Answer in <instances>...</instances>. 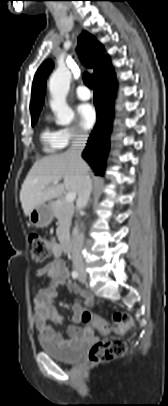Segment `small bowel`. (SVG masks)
I'll use <instances>...</instances> for the list:
<instances>
[{
	"instance_id": "1",
	"label": "small bowel",
	"mask_w": 168,
	"mask_h": 406,
	"mask_svg": "<svg viewBox=\"0 0 168 406\" xmlns=\"http://www.w3.org/2000/svg\"><path fill=\"white\" fill-rule=\"evenodd\" d=\"M54 260L46 264L44 267L38 269L35 272L36 277L43 278L47 276L50 279V285L46 288L37 290L33 297V309L35 317V325L40 335L45 337L51 343L59 346H69L73 341L92 334L90 327L79 328L76 326H70L68 333L71 337L70 340H66L63 336L55 331L51 326V323H62V316L55 306V300L57 298V288L59 286H66L70 291L78 293L81 301H75L73 304L74 321L78 322L82 319L84 313V307L92 308L94 306V297L78 287L69 283V271L66 263L60 258L61 248L53 245Z\"/></svg>"
}]
</instances>
